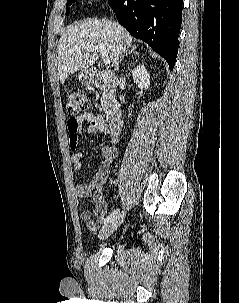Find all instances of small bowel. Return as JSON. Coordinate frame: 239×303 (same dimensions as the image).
Returning a JSON list of instances; mask_svg holds the SVG:
<instances>
[{
    "label": "small bowel",
    "mask_w": 239,
    "mask_h": 303,
    "mask_svg": "<svg viewBox=\"0 0 239 303\" xmlns=\"http://www.w3.org/2000/svg\"><path fill=\"white\" fill-rule=\"evenodd\" d=\"M72 123L76 124L75 131L71 130ZM85 123L88 124L86 127V132L88 134L99 133L108 136L110 141L109 145H104L101 148V153L105 157V160L100 165L92 181L90 183H79L76 186V194L79 198L91 197L94 201L98 222L92 220V213L87 209L81 211L80 218L86 222L89 231L95 232L98 230L99 224L104 220L105 215L108 213V207L103 199L102 190L107 182L111 164L117 156V148L115 145L118 142V138L109 132L101 116L94 112H85L75 118H70L67 122L69 143L72 148L77 146L82 134V127ZM71 162L75 170L82 171L84 169L83 154L81 152L74 151L71 156Z\"/></svg>",
    "instance_id": "small-bowel-1"
}]
</instances>
